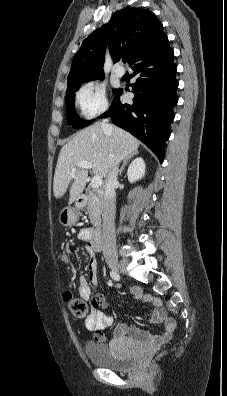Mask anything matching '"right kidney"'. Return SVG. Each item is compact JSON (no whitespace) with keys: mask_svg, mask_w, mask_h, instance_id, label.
<instances>
[{"mask_svg":"<svg viewBox=\"0 0 227 396\" xmlns=\"http://www.w3.org/2000/svg\"><path fill=\"white\" fill-rule=\"evenodd\" d=\"M145 175L144 160L139 157L136 158L127 170V176L130 183H134Z\"/></svg>","mask_w":227,"mask_h":396,"instance_id":"1","label":"right kidney"}]
</instances>
